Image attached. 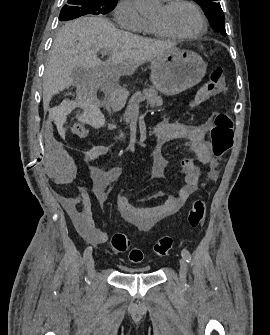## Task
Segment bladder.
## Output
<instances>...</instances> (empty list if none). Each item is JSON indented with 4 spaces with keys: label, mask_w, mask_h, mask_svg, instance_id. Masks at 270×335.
Masks as SVG:
<instances>
[{
    "label": "bladder",
    "mask_w": 270,
    "mask_h": 335,
    "mask_svg": "<svg viewBox=\"0 0 270 335\" xmlns=\"http://www.w3.org/2000/svg\"><path fill=\"white\" fill-rule=\"evenodd\" d=\"M127 273H146V272H150V270H146V271H126Z\"/></svg>",
    "instance_id": "1"
}]
</instances>
